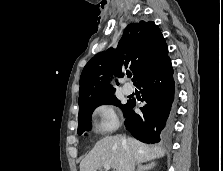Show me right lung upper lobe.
Listing matches in <instances>:
<instances>
[{
    "label": "right lung upper lobe",
    "mask_w": 223,
    "mask_h": 171,
    "mask_svg": "<svg viewBox=\"0 0 223 171\" xmlns=\"http://www.w3.org/2000/svg\"><path fill=\"white\" fill-rule=\"evenodd\" d=\"M168 49L160 29L152 21L129 24L117 49L95 55L84 67L80 78L79 108L113 95L111 75L123 77L122 66L130 65L137 82L168 59Z\"/></svg>",
    "instance_id": "obj_1"
}]
</instances>
